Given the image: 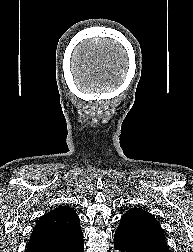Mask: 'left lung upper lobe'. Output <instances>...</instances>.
I'll list each match as a JSON object with an SVG mask.
<instances>
[{
	"instance_id": "5c2ea615",
	"label": "left lung upper lobe",
	"mask_w": 193,
	"mask_h": 252,
	"mask_svg": "<svg viewBox=\"0 0 193 252\" xmlns=\"http://www.w3.org/2000/svg\"><path fill=\"white\" fill-rule=\"evenodd\" d=\"M116 230L124 231L136 235L157 234L164 238L160 223L147 211L141 208H131L121 218V222Z\"/></svg>"
}]
</instances>
